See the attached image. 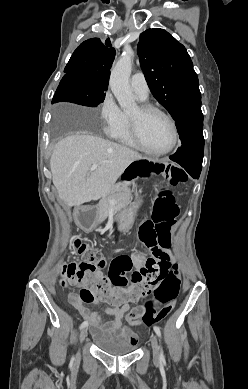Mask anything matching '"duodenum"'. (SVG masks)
<instances>
[{
	"instance_id": "1",
	"label": "duodenum",
	"mask_w": 248,
	"mask_h": 389,
	"mask_svg": "<svg viewBox=\"0 0 248 389\" xmlns=\"http://www.w3.org/2000/svg\"><path fill=\"white\" fill-rule=\"evenodd\" d=\"M91 207H95V203H94V202L91 203ZM91 207H90V208H91ZM90 208H84V209H82V210L78 213V215H77V219H78L79 224H80V225L83 227V229H85V230H91V229L94 228V226H91V225L89 224V221H90V220H84V218H83L84 213H90V212H89V209H90Z\"/></svg>"
}]
</instances>
